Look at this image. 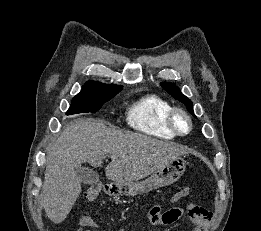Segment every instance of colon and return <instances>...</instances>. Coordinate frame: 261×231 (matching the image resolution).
I'll return each mask as SVG.
<instances>
[{
    "label": "colon",
    "mask_w": 261,
    "mask_h": 231,
    "mask_svg": "<svg viewBox=\"0 0 261 231\" xmlns=\"http://www.w3.org/2000/svg\"><path fill=\"white\" fill-rule=\"evenodd\" d=\"M181 197H183L182 194L179 198ZM186 212L193 225L200 227L202 231H208L213 218V213L210 210L199 205L190 204Z\"/></svg>",
    "instance_id": "colon-1"
}]
</instances>
